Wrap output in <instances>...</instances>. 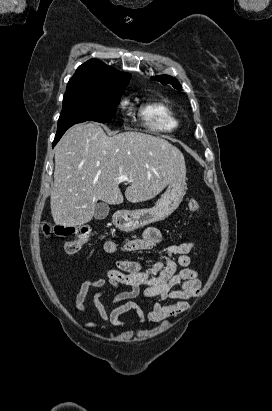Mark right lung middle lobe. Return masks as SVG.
Masks as SVG:
<instances>
[{"instance_id":"right-lung-middle-lobe-1","label":"right lung middle lobe","mask_w":272,"mask_h":411,"mask_svg":"<svg viewBox=\"0 0 272 411\" xmlns=\"http://www.w3.org/2000/svg\"><path fill=\"white\" fill-rule=\"evenodd\" d=\"M124 92V86L102 87L65 93L56 136H62L74 124L85 121L110 122Z\"/></svg>"}]
</instances>
